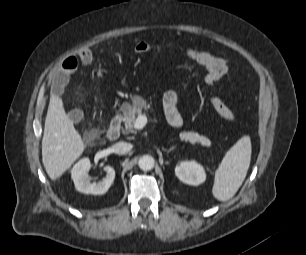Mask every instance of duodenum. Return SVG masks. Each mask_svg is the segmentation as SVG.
Wrapping results in <instances>:
<instances>
[{
	"mask_svg": "<svg viewBox=\"0 0 306 255\" xmlns=\"http://www.w3.org/2000/svg\"><path fill=\"white\" fill-rule=\"evenodd\" d=\"M121 119L119 116H114L107 130V136L110 140H117L120 137Z\"/></svg>",
	"mask_w": 306,
	"mask_h": 255,
	"instance_id": "duodenum-1",
	"label": "duodenum"
}]
</instances>
